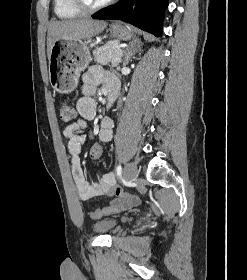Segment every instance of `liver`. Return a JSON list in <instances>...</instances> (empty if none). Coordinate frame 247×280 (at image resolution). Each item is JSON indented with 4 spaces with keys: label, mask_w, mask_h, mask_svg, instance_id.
I'll use <instances>...</instances> for the list:
<instances>
[{
    "label": "liver",
    "mask_w": 247,
    "mask_h": 280,
    "mask_svg": "<svg viewBox=\"0 0 247 280\" xmlns=\"http://www.w3.org/2000/svg\"><path fill=\"white\" fill-rule=\"evenodd\" d=\"M107 26L105 21L92 19H73L53 21L48 26L47 56L50 58L51 49L56 40H86L101 33Z\"/></svg>",
    "instance_id": "obj_1"
}]
</instances>
